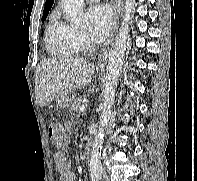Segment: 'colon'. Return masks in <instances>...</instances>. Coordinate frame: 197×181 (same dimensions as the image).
I'll return each mask as SVG.
<instances>
[{
	"label": "colon",
	"instance_id": "1",
	"mask_svg": "<svg viewBox=\"0 0 197 181\" xmlns=\"http://www.w3.org/2000/svg\"><path fill=\"white\" fill-rule=\"evenodd\" d=\"M48 134L55 146H59L62 143V131L56 124H51L48 127Z\"/></svg>",
	"mask_w": 197,
	"mask_h": 181
}]
</instances>
